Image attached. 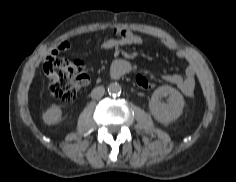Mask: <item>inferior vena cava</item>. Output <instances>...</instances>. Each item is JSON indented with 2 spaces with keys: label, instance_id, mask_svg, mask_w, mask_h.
Wrapping results in <instances>:
<instances>
[{
  "label": "inferior vena cava",
  "instance_id": "obj_1",
  "mask_svg": "<svg viewBox=\"0 0 236 182\" xmlns=\"http://www.w3.org/2000/svg\"><path fill=\"white\" fill-rule=\"evenodd\" d=\"M105 93V88L103 86L95 87L91 92V98L100 99Z\"/></svg>",
  "mask_w": 236,
  "mask_h": 182
}]
</instances>
